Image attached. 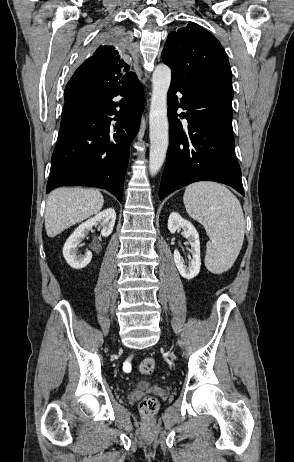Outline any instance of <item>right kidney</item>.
<instances>
[{
	"label": "right kidney",
	"mask_w": 294,
	"mask_h": 462,
	"mask_svg": "<svg viewBox=\"0 0 294 462\" xmlns=\"http://www.w3.org/2000/svg\"><path fill=\"white\" fill-rule=\"evenodd\" d=\"M115 220V210L108 208L80 224L64 244L63 256L67 263L74 269L86 267L92 259V253L87 251L84 255H77L78 245L93 226L100 225L102 227V236L108 237L113 231Z\"/></svg>",
	"instance_id": "ca27d5eb"
}]
</instances>
